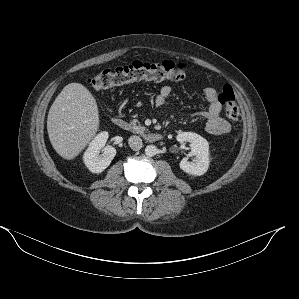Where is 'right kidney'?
Returning a JSON list of instances; mask_svg holds the SVG:
<instances>
[{
	"mask_svg": "<svg viewBox=\"0 0 299 299\" xmlns=\"http://www.w3.org/2000/svg\"><path fill=\"white\" fill-rule=\"evenodd\" d=\"M107 139L108 132H101L92 140L84 153V163L93 173L103 172L116 155V149L106 145ZM100 151H102V154H100Z\"/></svg>",
	"mask_w": 299,
	"mask_h": 299,
	"instance_id": "ca27d5eb",
	"label": "right kidney"
}]
</instances>
